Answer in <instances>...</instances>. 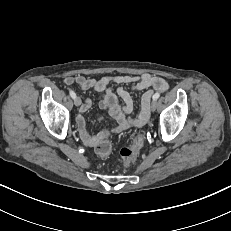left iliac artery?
<instances>
[{
    "label": "left iliac artery",
    "mask_w": 231,
    "mask_h": 231,
    "mask_svg": "<svg viewBox=\"0 0 231 231\" xmlns=\"http://www.w3.org/2000/svg\"><path fill=\"white\" fill-rule=\"evenodd\" d=\"M160 97V93H155L153 95V100H157Z\"/></svg>",
    "instance_id": "left-iliac-artery-1"
}]
</instances>
